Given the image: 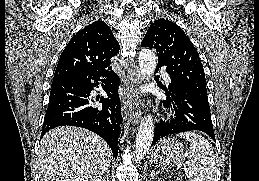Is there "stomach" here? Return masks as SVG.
<instances>
[{
	"label": "stomach",
	"instance_id": "0dacf381",
	"mask_svg": "<svg viewBox=\"0 0 259 181\" xmlns=\"http://www.w3.org/2000/svg\"><path fill=\"white\" fill-rule=\"evenodd\" d=\"M184 148L180 142L171 138L160 140L152 150L151 161L157 166L168 169L181 162Z\"/></svg>",
	"mask_w": 259,
	"mask_h": 181
}]
</instances>
